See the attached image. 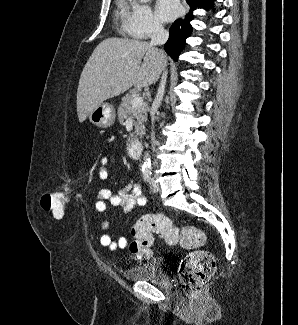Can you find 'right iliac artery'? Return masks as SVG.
Wrapping results in <instances>:
<instances>
[{
	"instance_id": "82829eb1",
	"label": "right iliac artery",
	"mask_w": 298,
	"mask_h": 325,
	"mask_svg": "<svg viewBox=\"0 0 298 325\" xmlns=\"http://www.w3.org/2000/svg\"><path fill=\"white\" fill-rule=\"evenodd\" d=\"M143 179L145 182H149L151 179V173L150 172H144L143 173Z\"/></svg>"
}]
</instances>
